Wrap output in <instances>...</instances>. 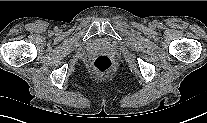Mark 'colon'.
<instances>
[{
  "label": "colon",
  "instance_id": "obj_1",
  "mask_svg": "<svg viewBox=\"0 0 207 123\" xmlns=\"http://www.w3.org/2000/svg\"><path fill=\"white\" fill-rule=\"evenodd\" d=\"M91 68L97 73H109L113 70V62L109 57L101 55L93 60Z\"/></svg>",
  "mask_w": 207,
  "mask_h": 123
}]
</instances>
